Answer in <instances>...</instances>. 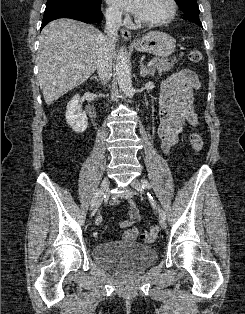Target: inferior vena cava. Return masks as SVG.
<instances>
[{
    "instance_id": "inferior-vena-cava-1",
    "label": "inferior vena cava",
    "mask_w": 245,
    "mask_h": 314,
    "mask_svg": "<svg viewBox=\"0 0 245 314\" xmlns=\"http://www.w3.org/2000/svg\"><path fill=\"white\" fill-rule=\"evenodd\" d=\"M106 25L102 49L99 54L97 70L101 82L105 85L112 76V60L115 51V42L118 30L122 23V14L118 10H109L105 14Z\"/></svg>"
}]
</instances>
